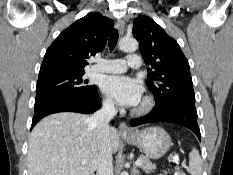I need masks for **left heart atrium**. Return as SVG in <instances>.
<instances>
[{
  "label": "left heart atrium",
  "mask_w": 233,
  "mask_h": 175,
  "mask_svg": "<svg viewBox=\"0 0 233 175\" xmlns=\"http://www.w3.org/2000/svg\"><path fill=\"white\" fill-rule=\"evenodd\" d=\"M103 90L120 105L127 107L138 105L142 97L141 83L128 76L107 77L103 83Z\"/></svg>",
  "instance_id": "obj_1"
}]
</instances>
